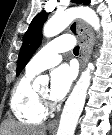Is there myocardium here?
<instances>
[{
  "instance_id": "1",
  "label": "myocardium",
  "mask_w": 112,
  "mask_h": 135,
  "mask_svg": "<svg viewBox=\"0 0 112 135\" xmlns=\"http://www.w3.org/2000/svg\"><path fill=\"white\" fill-rule=\"evenodd\" d=\"M37 96L42 104V106L47 109H52L53 105L49 102L48 98L46 96H42L41 94L37 93Z\"/></svg>"
}]
</instances>
